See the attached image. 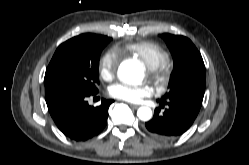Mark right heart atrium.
Masks as SVG:
<instances>
[{
    "mask_svg": "<svg viewBox=\"0 0 249 165\" xmlns=\"http://www.w3.org/2000/svg\"><path fill=\"white\" fill-rule=\"evenodd\" d=\"M119 63V52L116 49L108 50L101 58L99 63L100 76L105 79H111Z\"/></svg>",
    "mask_w": 249,
    "mask_h": 165,
    "instance_id": "right-heart-atrium-1",
    "label": "right heart atrium"
}]
</instances>
